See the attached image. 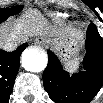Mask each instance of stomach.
I'll return each mask as SVG.
<instances>
[{"label":"stomach","mask_w":103,"mask_h":103,"mask_svg":"<svg viewBox=\"0 0 103 103\" xmlns=\"http://www.w3.org/2000/svg\"><path fill=\"white\" fill-rule=\"evenodd\" d=\"M46 42L51 45L62 61L68 63L79 55L83 45V35L78 32L63 37L49 38Z\"/></svg>","instance_id":"stomach-1"}]
</instances>
